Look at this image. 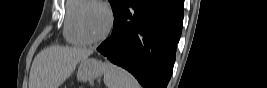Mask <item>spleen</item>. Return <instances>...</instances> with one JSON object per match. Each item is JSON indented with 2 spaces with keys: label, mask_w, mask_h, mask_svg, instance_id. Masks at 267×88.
<instances>
[{
  "label": "spleen",
  "mask_w": 267,
  "mask_h": 88,
  "mask_svg": "<svg viewBox=\"0 0 267 88\" xmlns=\"http://www.w3.org/2000/svg\"><path fill=\"white\" fill-rule=\"evenodd\" d=\"M103 74L107 88H141L131 73L110 62L103 63Z\"/></svg>",
  "instance_id": "1"
}]
</instances>
